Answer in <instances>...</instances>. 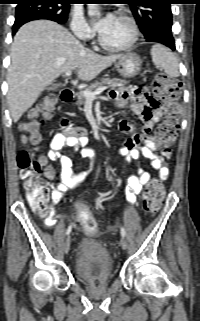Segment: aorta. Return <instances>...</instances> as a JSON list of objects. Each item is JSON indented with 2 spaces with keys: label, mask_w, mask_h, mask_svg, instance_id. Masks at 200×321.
Returning <instances> with one entry per match:
<instances>
[{
  "label": "aorta",
  "mask_w": 200,
  "mask_h": 321,
  "mask_svg": "<svg viewBox=\"0 0 200 321\" xmlns=\"http://www.w3.org/2000/svg\"><path fill=\"white\" fill-rule=\"evenodd\" d=\"M90 8H92V9H98L97 7H95V4H90Z\"/></svg>",
  "instance_id": "obj_1"
}]
</instances>
